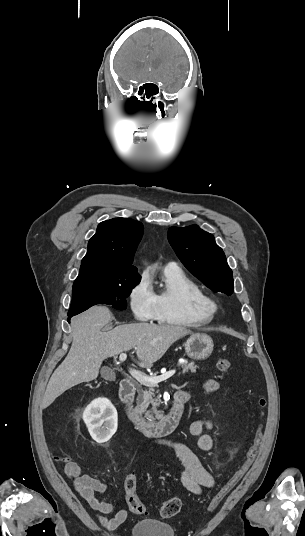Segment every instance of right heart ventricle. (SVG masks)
Masks as SVG:
<instances>
[{
	"mask_svg": "<svg viewBox=\"0 0 305 536\" xmlns=\"http://www.w3.org/2000/svg\"><path fill=\"white\" fill-rule=\"evenodd\" d=\"M160 285L153 289L155 320L161 324L199 327L210 321L201 315L196 301L206 294L198 283L176 266L161 271Z\"/></svg>",
	"mask_w": 305,
	"mask_h": 536,
	"instance_id": "e07e8e85",
	"label": "right heart ventricle"
}]
</instances>
